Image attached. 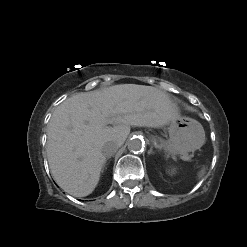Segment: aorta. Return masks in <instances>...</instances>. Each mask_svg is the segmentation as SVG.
Segmentation results:
<instances>
[{
  "label": "aorta",
  "mask_w": 247,
  "mask_h": 247,
  "mask_svg": "<svg viewBox=\"0 0 247 247\" xmlns=\"http://www.w3.org/2000/svg\"><path fill=\"white\" fill-rule=\"evenodd\" d=\"M144 145L145 141L143 138L134 136L128 142V150L133 153L140 152L144 148Z\"/></svg>",
  "instance_id": "1"
}]
</instances>
